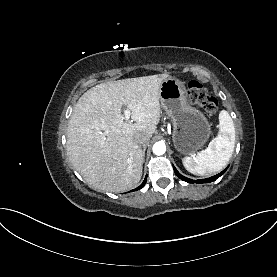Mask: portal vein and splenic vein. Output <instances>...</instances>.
I'll list each match as a JSON object with an SVG mask.
<instances>
[{"instance_id": "1", "label": "portal vein and splenic vein", "mask_w": 277, "mask_h": 277, "mask_svg": "<svg viewBox=\"0 0 277 277\" xmlns=\"http://www.w3.org/2000/svg\"><path fill=\"white\" fill-rule=\"evenodd\" d=\"M131 112L127 109L124 110V119L128 121L130 119Z\"/></svg>"}]
</instances>
